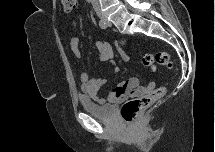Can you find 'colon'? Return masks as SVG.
Segmentation results:
<instances>
[{
  "instance_id": "colon-1",
  "label": "colon",
  "mask_w": 215,
  "mask_h": 152,
  "mask_svg": "<svg viewBox=\"0 0 215 152\" xmlns=\"http://www.w3.org/2000/svg\"><path fill=\"white\" fill-rule=\"evenodd\" d=\"M63 7L66 12H71L76 8V0H63ZM142 64L152 70L156 69V66H162L167 69H171L173 62L171 56L166 51H159L156 54H145L142 58ZM166 92L165 87L161 86L156 88L152 93L142 97L132 98L126 100L120 109V114L126 122H132L137 115L151 105L154 101L164 96Z\"/></svg>"
}]
</instances>
